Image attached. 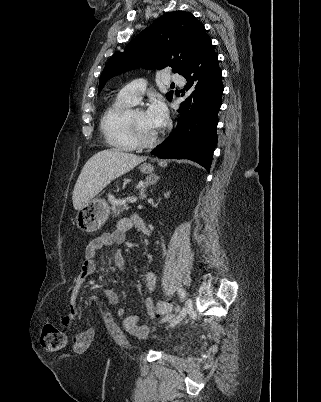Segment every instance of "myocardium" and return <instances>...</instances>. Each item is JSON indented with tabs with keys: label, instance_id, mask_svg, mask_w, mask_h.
Segmentation results:
<instances>
[{
	"label": "myocardium",
	"instance_id": "f54148a6",
	"mask_svg": "<svg viewBox=\"0 0 321 402\" xmlns=\"http://www.w3.org/2000/svg\"><path fill=\"white\" fill-rule=\"evenodd\" d=\"M126 126L132 140L138 147H150L154 145L159 138L158 132L149 138L143 137L135 128L131 118V113L126 116Z\"/></svg>",
	"mask_w": 321,
	"mask_h": 402
}]
</instances>
